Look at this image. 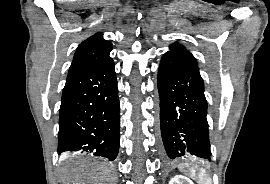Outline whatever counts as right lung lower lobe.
Masks as SVG:
<instances>
[{"instance_id":"98d812e1","label":"right lung lower lobe","mask_w":270,"mask_h":184,"mask_svg":"<svg viewBox=\"0 0 270 184\" xmlns=\"http://www.w3.org/2000/svg\"><path fill=\"white\" fill-rule=\"evenodd\" d=\"M119 128L113 60L68 74L59 111L58 154L85 151L113 161Z\"/></svg>"}]
</instances>
